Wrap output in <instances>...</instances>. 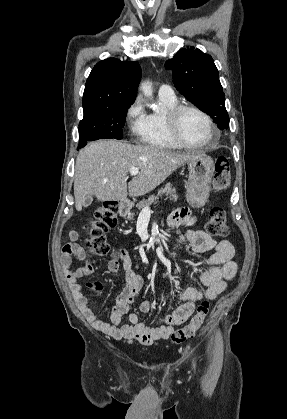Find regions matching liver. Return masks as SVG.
Wrapping results in <instances>:
<instances>
[{
    "instance_id": "liver-1",
    "label": "liver",
    "mask_w": 287,
    "mask_h": 419,
    "mask_svg": "<svg viewBox=\"0 0 287 419\" xmlns=\"http://www.w3.org/2000/svg\"><path fill=\"white\" fill-rule=\"evenodd\" d=\"M205 154L176 153L149 145H133L117 140L89 143L78 154L74 196L77 211L89 196L103 201H122L127 196L151 192L183 164ZM131 168L140 170L128 183Z\"/></svg>"
}]
</instances>
